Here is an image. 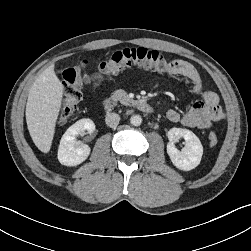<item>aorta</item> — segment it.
<instances>
[{
	"label": "aorta",
	"instance_id": "aorta-1",
	"mask_svg": "<svg viewBox=\"0 0 251 251\" xmlns=\"http://www.w3.org/2000/svg\"><path fill=\"white\" fill-rule=\"evenodd\" d=\"M130 122L132 125L134 126H139L141 125L142 123V118L140 115H133L131 118H130Z\"/></svg>",
	"mask_w": 251,
	"mask_h": 251
}]
</instances>
